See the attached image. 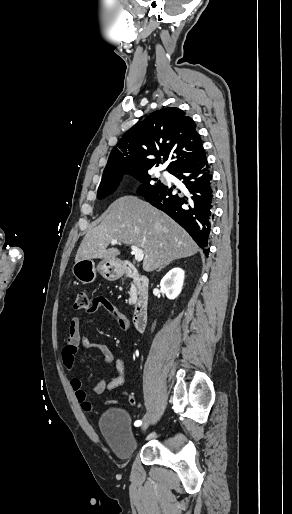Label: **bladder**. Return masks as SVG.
<instances>
[{"instance_id":"31cf9c89","label":"bladder","mask_w":292,"mask_h":514,"mask_svg":"<svg viewBox=\"0 0 292 514\" xmlns=\"http://www.w3.org/2000/svg\"><path fill=\"white\" fill-rule=\"evenodd\" d=\"M102 436L113 452L121 459L130 458L138 447L129 413L120 407L106 410L99 421Z\"/></svg>"}]
</instances>
